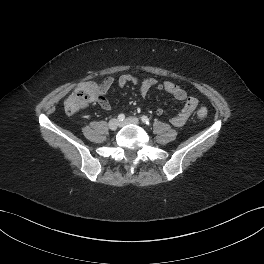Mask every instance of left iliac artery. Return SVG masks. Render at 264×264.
Masks as SVG:
<instances>
[{
	"label": "left iliac artery",
	"mask_w": 264,
	"mask_h": 264,
	"mask_svg": "<svg viewBox=\"0 0 264 264\" xmlns=\"http://www.w3.org/2000/svg\"><path fill=\"white\" fill-rule=\"evenodd\" d=\"M141 120H142V122L144 123V124H147V125H149L150 124V120H149V118L147 117V116H142L141 117Z\"/></svg>",
	"instance_id": "44dca946"
}]
</instances>
